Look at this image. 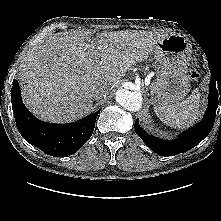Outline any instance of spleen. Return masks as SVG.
<instances>
[{"label":"spleen","mask_w":221,"mask_h":221,"mask_svg":"<svg viewBox=\"0 0 221 221\" xmlns=\"http://www.w3.org/2000/svg\"><path fill=\"white\" fill-rule=\"evenodd\" d=\"M199 103L200 94L196 90L185 100L163 107H154V111L167 126L185 129L198 119L200 115Z\"/></svg>","instance_id":"spleen-1"}]
</instances>
